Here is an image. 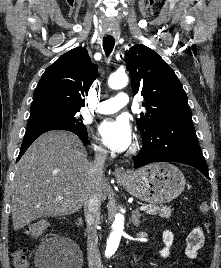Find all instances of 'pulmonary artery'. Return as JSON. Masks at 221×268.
<instances>
[{"mask_svg":"<svg viewBox=\"0 0 221 268\" xmlns=\"http://www.w3.org/2000/svg\"><path fill=\"white\" fill-rule=\"evenodd\" d=\"M129 103V97L126 93L120 92L115 97L102 101L97 106V112L100 114H111L120 110Z\"/></svg>","mask_w":221,"mask_h":268,"instance_id":"pulmonary-artery-1","label":"pulmonary artery"}]
</instances>
